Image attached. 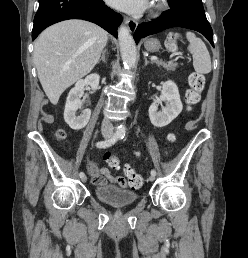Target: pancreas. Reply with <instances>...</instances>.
<instances>
[{"mask_svg": "<svg viewBox=\"0 0 248 258\" xmlns=\"http://www.w3.org/2000/svg\"><path fill=\"white\" fill-rule=\"evenodd\" d=\"M158 66H162L164 67L167 71H175V69L177 68V63H165L162 60H156L154 61Z\"/></svg>", "mask_w": 248, "mask_h": 258, "instance_id": "cf45deb5", "label": "pancreas"}]
</instances>
